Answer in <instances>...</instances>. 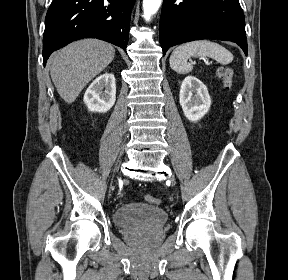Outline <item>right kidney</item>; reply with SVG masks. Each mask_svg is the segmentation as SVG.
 <instances>
[{
	"instance_id": "right-kidney-1",
	"label": "right kidney",
	"mask_w": 288,
	"mask_h": 280,
	"mask_svg": "<svg viewBox=\"0 0 288 280\" xmlns=\"http://www.w3.org/2000/svg\"><path fill=\"white\" fill-rule=\"evenodd\" d=\"M115 100L116 84L112 73L100 75L84 94V103L91 112L105 113L113 107Z\"/></svg>"
}]
</instances>
